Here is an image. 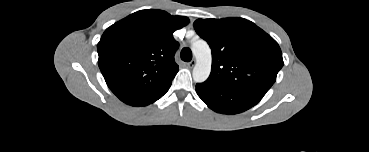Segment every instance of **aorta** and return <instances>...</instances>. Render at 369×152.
Wrapping results in <instances>:
<instances>
[{
    "label": "aorta",
    "mask_w": 369,
    "mask_h": 152,
    "mask_svg": "<svg viewBox=\"0 0 369 152\" xmlns=\"http://www.w3.org/2000/svg\"><path fill=\"white\" fill-rule=\"evenodd\" d=\"M191 51L196 58L192 71L193 80L196 83H202L208 79L211 72V49L205 40L199 39L192 43Z\"/></svg>",
    "instance_id": "obj_1"
}]
</instances>
